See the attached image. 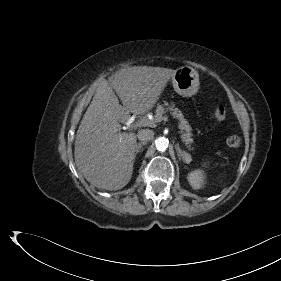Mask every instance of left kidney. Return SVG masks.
Returning a JSON list of instances; mask_svg holds the SVG:
<instances>
[{
  "label": "left kidney",
  "instance_id": "5707ae66",
  "mask_svg": "<svg viewBox=\"0 0 281 281\" xmlns=\"http://www.w3.org/2000/svg\"><path fill=\"white\" fill-rule=\"evenodd\" d=\"M187 179L193 189H200L204 184L205 173L203 170H195L188 174Z\"/></svg>",
  "mask_w": 281,
  "mask_h": 281
}]
</instances>
